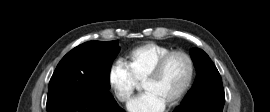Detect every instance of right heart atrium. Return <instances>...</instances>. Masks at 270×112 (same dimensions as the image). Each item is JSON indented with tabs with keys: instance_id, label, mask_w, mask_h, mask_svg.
<instances>
[{
	"instance_id": "obj_1",
	"label": "right heart atrium",
	"mask_w": 270,
	"mask_h": 112,
	"mask_svg": "<svg viewBox=\"0 0 270 112\" xmlns=\"http://www.w3.org/2000/svg\"><path fill=\"white\" fill-rule=\"evenodd\" d=\"M107 81L114 97L121 103L127 102L139 87V82L122 61L113 62L107 73Z\"/></svg>"
}]
</instances>
